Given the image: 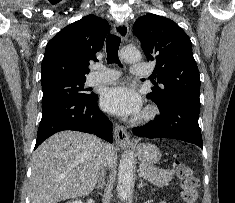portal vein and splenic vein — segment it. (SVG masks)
Returning <instances> with one entry per match:
<instances>
[{
  "label": "portal vein and splenic vein",
  "instance_id": "18ae733b",
  "mask_svg": "<svg viewBox=\"0 0 235 203\" xmlns=\"http://www.w3.org/2000/svg\"><path fill=\"white\" fill-rule=\"evenodd\" d=\"M138 175H139V177H143L145 175V172L141 171Z\"/></svg>",
  "mask_w": 235,
  "mask_h": 203
}]
</instances>
